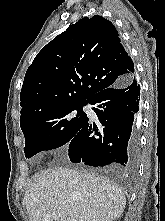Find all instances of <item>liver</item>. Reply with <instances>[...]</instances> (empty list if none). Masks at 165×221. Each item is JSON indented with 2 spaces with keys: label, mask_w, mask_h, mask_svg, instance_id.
I'll use <instances>...</instances> for the list:
<instances>
[{
  "label": "liver",
  "mask_w": 165,
  "mask_h": 221,
  "mask_svg": "<svg viewBox=\"0 0 165 221\" xmlns=\"http://www.w3.org/2000/svg\"><path fill=\"white\" fill-rule=\"evenodd\" d=\"M23 205L30 221H112L122 215L126 198L106 177L52 168L34 176Z\"/></svg>",
  "instance_id": "6515ba94"
}]
</instances>
